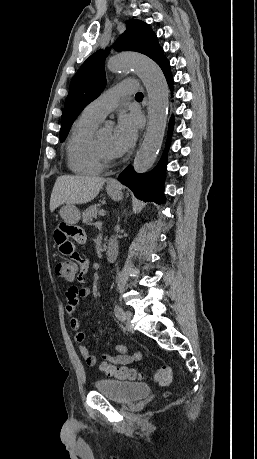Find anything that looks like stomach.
Instances as JSON below:
<instances>
[{
    "instance_id": "obj_1",
    "label": "stomach",
    "mask_w": 257,
    "mask_h": 459,
    "mask_svg": "<svg viewBox=\"0 0 257 459\" xmlns=\"http://www.w3.org/2000/svg\"><path fill=\"white\" fill-rule=\"evenodd\" d=\"M106 190L113 200L118 201L122 198V192L119 188L107 186ZM80 215L79 209L73 204H65L60 209V216L66 223H78Z\"/></svg>"
}]
</instances>
